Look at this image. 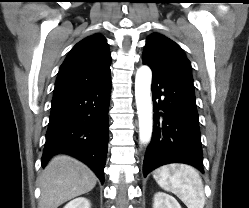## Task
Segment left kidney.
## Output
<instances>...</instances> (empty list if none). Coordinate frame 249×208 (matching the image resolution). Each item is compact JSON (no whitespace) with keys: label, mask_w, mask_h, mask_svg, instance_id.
Listing matches in <instances>:
<instances>
[{"label":"left kidney","mask_w":249,"mask_h":208,"mask_svg":"<svg viewBox=\"0 0 249 208\" xmlns=\"http://www.w3.org/2000/svg\"><path fill=\"white\" fill-rule=\"evenodd\" d=\"M153 208H181V206L171 195L163 192H157L154 195Z\"/></svg>","instance_id":"left-kidney-1"}]
</instances>
